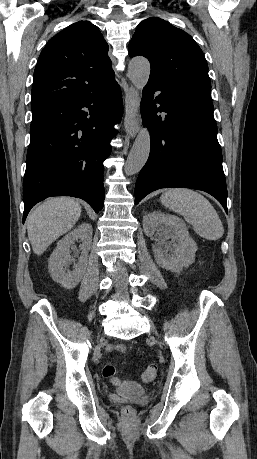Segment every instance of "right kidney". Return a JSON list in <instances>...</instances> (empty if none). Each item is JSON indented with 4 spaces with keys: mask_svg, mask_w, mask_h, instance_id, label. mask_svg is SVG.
Segmentation results:
<instances>
[{
    "mask_svg": "<svg viewBox=\"0 0 257 459\" xmlns=\"http://www.w3.org/2000/svg\"><path fill=\"white\" fill-rule=\"evenodd\" d=\"M92 232L90 224L83 223L79 225L57 243L56 249L49 258L48 269L52 279L66 289L75 288L82 279L87 265L88 252L91 248ZM76 240L82 241L79 246L81 255L74 265L75 269L69 271L67 267L72 262L70 247L74 245Z\"/></svg>",
    "mask_w": 257,
    "mask_h": 459,
    "instance_id": "ca27d5eb",
    "label": "right kidney"
}]
</instances>
